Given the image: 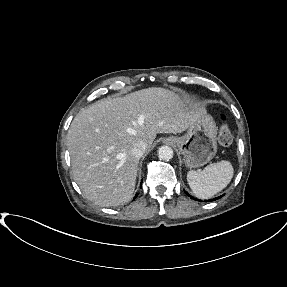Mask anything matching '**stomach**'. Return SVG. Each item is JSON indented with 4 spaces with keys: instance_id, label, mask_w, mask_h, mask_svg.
Here are the masks:
<instances>
[{
    "instance_id": "1",
    "label": "stomach",
    "mask_w": 287,
    "mask_h": 287,
    "mask_svg": "<svg viewBox=\"0 0 287 287\" xmlns=\"http://www.w3.org/2000/svg\"><path fill=\"white\" fill-rule=\"evenodd\" d=\"M185 165L192 169L207 164L217 152V127L213 118L201 114L181 137H175Z\"/></svg>"
}]
</instances>
